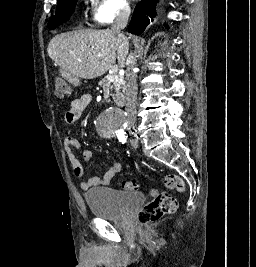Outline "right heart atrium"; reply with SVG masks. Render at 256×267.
<instances>
[{
  "label": "right heart atrium",
  "mask_w": 256,
  "mask_h": 267,
  "mask_svg": "<svg viewBox=\"0 0 256 267\" xmlns=\"http://www.w3.org/2000/svg\"><path fill=\"white\" fill-rule=\"evenodd\" d=\"M117 17L118 15L114 17H108L98 12L94 14V21L98 27L104 28L105 25H112L115 22Z\"/></svg>",
  "instance_id": "right-heart-atrium-1"
}]
</instances>
